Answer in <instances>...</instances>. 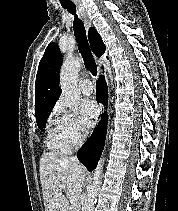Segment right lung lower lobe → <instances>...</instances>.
<instances>
[{
	"mask_svg": "<svg viewBox=\"0 0 178 211\" xmlns=\"http://www.w3.org/2000/svg\"><path fill=\"white\" fill-rule=\"evenodd\" d=\"M97 100L103 104H107L108 91L105 79L101 76L98 80ZM107 132V114L104 113L102 120L77 153L79 161L92 172L97 166L98 160L102 154Z\"/></svg>",
	"mask_w": 178,
	"mask_h": 211,
	"instance_id": "98d812e1",
	"label": "right lung lower lobe"
}]
</instances>
